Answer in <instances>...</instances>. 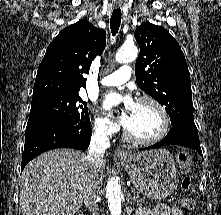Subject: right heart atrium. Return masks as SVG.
Returning a JSON list of instances; mask_svg holds the SVG:
<instances>
[{
    "mask_svg": "<svg viewBox=\"0 0 221 215\" xmlns=\"http://www.w3.org/2000/svg\"><path fill=\"white\" fill-rule=\"evenodd\" d=\"M93 128L98 135L103 137L112 136L116 134L119 130L118 126L113 123L109 118L98 113L94 115Z\"/></svg>",
    "mask_w": 221,
    "mask_h": 215,
    "instance_id": "d8ad5b80",
    "label": "right heart atrium"
}]
</instances>
